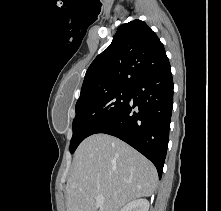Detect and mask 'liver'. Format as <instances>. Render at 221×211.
<instances>
[{
	"label": "liver",
	"mask_w": 221,
	"mask_h": 211,
	"mask_svg": "<svg viewBox=\"0 0 221 211\" xmlns=\"http://www.w3.org/2000/svg\"><path fill=\"white\" fill-rule=\"evenodd\" d=\"M158 187L154 165L125 142L107 134L86 138L74 154L67 180V211H119ZM103 196L104 203L96 204Z\"/></svg>",
	"instance_id": "6515ba94"
}]
</instances>
